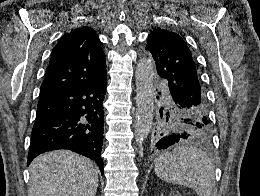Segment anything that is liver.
I'll return each mask as SVG.
<instances>
[{"label":"liver","mask_w":260,"mask_h":196,"mask_svg":"<svg viewBox=\"0 0 260 196\" xmlns=\"http://www.w3.org/2000/svg\"><path fill=\"white\" fill-rule=\"evenodd\" d=\"M29 196H95L98 172L91 160L70 150L38 156L30 166Z\"/></svg>","instance_id":"1"}]
</instances>
